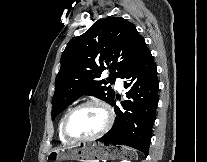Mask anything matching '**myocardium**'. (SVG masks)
Instances as JSON below:
<instances>
[{
    "mask_svg": "<svg viewBox=\"0 0 207 162\" xmlns=\"http://www.w3.org/2000/svg\"><path fill=\"white\" fill-rule=\"evenodd\" d=\"M90 105L98 106L104 111L105 123H104L102 129L99 132H97L96 134H93V135L87 136V137L76 138V137L69 136L68 132H67V124H68L69 119L77 111H79L80 109H82L86 106H90ZM113 119H114L113 110L107 102H105L101 99H97V98L89 99V100L77 105L76 107H74L72 110H70L65 115V117L62 120L61 127H60L61 137L66 142H83V141H91V140L98 139V138L102 137L105 133H107V131L111 128L112 123H113Z\"/></svg>",
    "mask_w": 207,
    "mask_h": 162,
    "instance_id": "obj_1",
    "label": "myocardium"
}]
</instances>
